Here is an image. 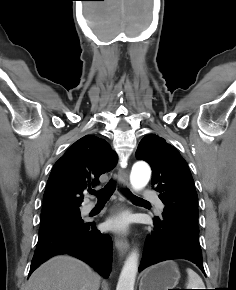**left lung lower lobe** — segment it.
<instances>
[{"label": "left lung lower lobe", "instance_id": "0a47b994", "mask_svg": "<svg viewBox=\"0 0 236 290\" xmlns=\"http://www.w3.org/2000/svg\"><path fill=\"white\" fill-rule=\"evenodd\" d=\"M170 259H186L204 272L199 234L171 221L154 219V228L147 237L139 271Z\"/></svg>", "mask_w": 236, "mask_h": 290}]
</instances>
